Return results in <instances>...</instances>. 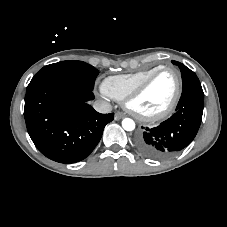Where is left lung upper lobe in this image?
Returning a JSON list of instances; mask_svg holds the SVG:
<instances>
[{"label":"left lung upper lobe","instance_id":"obj_1","mask_svg":"<svg viewBox=\"0 0 227 227\" xmlns=\"http://www.w3.org/2000/svg\"><path fill=\"white\" fill-rule=\"evenodd\" d=\"M172 63L180 68L183 82L182 93L190 90L203 92L200 81L193 71L180 62L172 61Z\"/></svg>","mask_w":227,"mask_h":227}]
</instances>
